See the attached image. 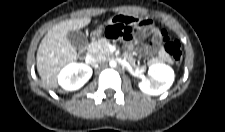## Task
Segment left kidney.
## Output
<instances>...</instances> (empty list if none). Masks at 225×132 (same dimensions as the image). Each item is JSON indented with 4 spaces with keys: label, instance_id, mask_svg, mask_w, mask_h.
I'll use <instances>...</instances> for the list:
<instances>
[{
    "label": "left kidney",
    "instance_id": "1",
    "mask_svg": "<svg viewBox=\"0 0 225 132\" xmlns=\"http://www.w3.org/2000/svg\"><path fill=\"white\" fill-rule=\"evenodd\" d=\"M148 74L151 80L144 78L139 83L142 92L149 95H160L168 90L174 81L173 69L165 64H153L149 67Z\"/></svg>",
    "mask_w": 225,
    "mask_h": 132
}]
</instances>
